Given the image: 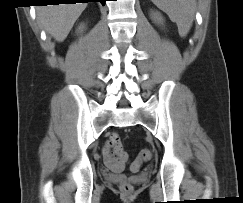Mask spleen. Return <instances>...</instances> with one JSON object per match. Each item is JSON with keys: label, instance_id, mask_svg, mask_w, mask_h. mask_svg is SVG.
<instances>
[{"label": "spleen", "instance_id": "obj_1", "mask_svg": "<svg viewBox=\"0 0 243 203\" xmlns=\"http://www.w3.org/2000/svg\"><path fill=\"white\" fill-rule=\"evenodd\" d=\"M160 10L165 12L178 27L181 37L189 32L196 7L195 0H151Z\"/></svg>", "mask_w": 243, "mask_h": 203}]
</instances>
